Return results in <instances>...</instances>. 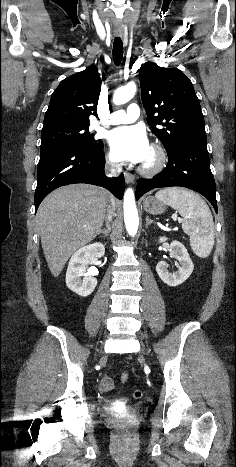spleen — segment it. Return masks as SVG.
<instances>
[{
  "instance_id": "spleen-1",
  "label": "spleen",
  "mask_w": 236,
  "mask_h": 467,
  "mask_svg": "<svg viewBox=\"0 0 236 467\" xmlns=\"http://www.w3.org/2000/svg\"><path fill=\"white\" fill-rule=\"evenodd\" d=\"M155 197L183 217L182 229L190 237L193 252L206 258L214 245V222L206 202L196 193L179 187L165 188Z\"/></svg>"
}]
</instances>
